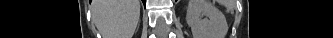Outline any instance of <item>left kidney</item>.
<instances>
[{
	"instance_id": "left-kidney-1",
	"label": "left kidney",
	"mask_w": 333,
	"mask_h": 38,
	"mask_svg": "<svg viewBox=\"0 0 333 38\" xmlns=\"http://www.w3.org/2000/svg\"><path fill=\"white\" fill-rule=\"evenodd\" d=\"M186 21L194 38H225L228 32L224 14L209 0H189Z\"/></svg>"
}]
</instances>
